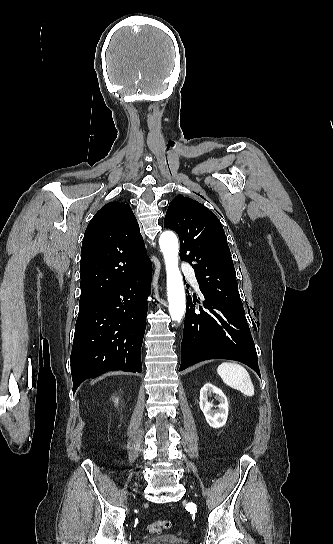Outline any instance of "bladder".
I'll return each instance as SVG.
<instances>
[{
    "mask_svg": "<svg viewBox=\"0 0 333 544\" xmlns=\"http://www.w3.org/2000/svg\"><path fill=\"white\" fill-rule=\"evenodd\" d=\"M144 544H188V541L176 534L167 533L154 536L148 539Z\"/></svg>",
    "mask_w": 333,
    "mask_h": 544,
    "instance_id": "1",
    "label": "bladder"
}]
</instances>
